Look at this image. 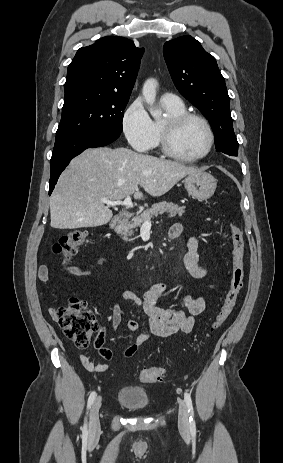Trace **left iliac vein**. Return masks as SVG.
Instances as JSON below:
<instances>
[{
  "label": "left iliac vein",
  "instance_id": "obj_1",
  "mask_svg": "<svg viewBox=\"0 0 283 463\" xmlns=\"http://www.w3.org/2000/svg\"><path fill=\"white\" fill-rule=\"evenodd\" d=\"M178 424L183 431H187L189 428L188 408L183 400H179Z\"/></svg>",
  "mask_w": 283,
  "mask_h": 463
}]
</instances>
